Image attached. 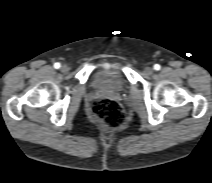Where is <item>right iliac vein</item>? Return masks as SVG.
I'll return each mask as SVG.
<instances>
[{
    "label": "right iliac vein",
    "mask_w": 212,
    "mask_h": 183,
    "mask_svg": "<svg viewBox=\"0 0 212 183\" xmlns=\"http://www.w3.org/2000/svg\"><path fill=\"white\" fill-rule=\"evenodd\" d=\"M69 70H70L69 66H67V65H62L61 66V71L63 73H67V72H69Z\"/></svg>",
    "instance_id": "1"
}]
</instances>
